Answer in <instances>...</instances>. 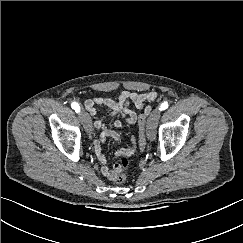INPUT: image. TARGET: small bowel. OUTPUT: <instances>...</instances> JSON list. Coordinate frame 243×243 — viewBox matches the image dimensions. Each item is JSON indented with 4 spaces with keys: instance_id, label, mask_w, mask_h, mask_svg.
<instances>
[{
    "instance_id": "small-bowel-1",
    "label": "small bowel",
    "mask_w": 243,
    "mask_h": 243,
    "mask_svg": "<svg viewBox=\"0 0 243 243\" xmlns=\"http://www.w3.org/2000/svg\"><path fill=\"white\" fill-rule=\"evenodd\" d=\"M157 93L154 91H147L143 93L121 91L115 98L112 97H95L87 99L84 106L91 117L94 118V126L100 130V134L94 140V150L99 162L102 164L101 173L110 181H114L116 176L115 166L111 169L106 165L107 159L103 150V144L108 137L115 140L120 139V134L114 131V128L122 127L123 125H133L137 122L138 116L135 111L130 109V104L133 103L137 109L143 110V113L148 115L150 113L149 103L154 101ZM105 106L108 109L109 116L113 118L108 125H106L105 118L98 116L96 106ZM131 146L120 149L116 152L118 156H130L138 150V139L134 136L130 138Z\"/></svg>"
}]
</instances>
